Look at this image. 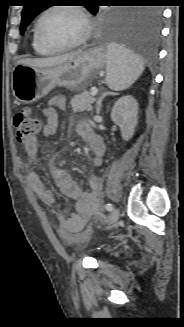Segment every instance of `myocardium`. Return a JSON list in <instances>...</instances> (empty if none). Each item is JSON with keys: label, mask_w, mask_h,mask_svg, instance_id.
<instances>
[{"label": "myocardium", "mask_w": 184, "mask_h": 327, "mask_svg": "<svg viewBox=\"0 0 184 327\" xmlns=\"http://www.w3.org/2000/svg\"><path fill=\"white\" fill-rule=\"evenodd\" d=\"M57 9H68V10H71V11L77 13L84 24V32H83L82 36L78 40L74 41L73 43L57 46V45H54V44H51L50 42H48L41 33V23H42L44 17L47 14H49L50 12L57 10ZM34 31H35V36H36L37 41L44 48H46L52 52H62V51L71 50V49H74V48H77V47L83 45L91 36L92 24H91L88 14L81 6L73 5V4H57V5H52L48 8H46L39 15V17L35 23Z\"/></svg>", "instance_id": "myocardium-1"}]
</instances>
